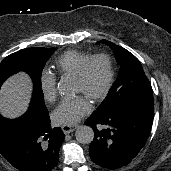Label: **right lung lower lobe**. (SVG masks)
Wrapping results in <instances>:
<instances>
[{
    "instance_id": "right-lung-lower-lobe-1",
    "label": "right lung lower lobe",
    "mask_w": 171,
    "mask_h": 171,
    "mask_svg": "<svg viewBox=\"0 0 171 171\" xmlns=\"http://www.w3.org/2000/svg\"><path fill=\"white\" fill-rule=\"evenodd\" d=\"M12 124L2 156L19 171H52L64 140L61 128H51L48 113L40 116L31 110Z\"/></svg>"
}]
</instances>
